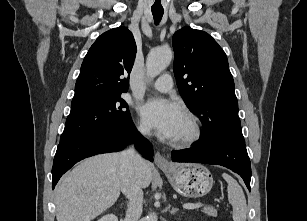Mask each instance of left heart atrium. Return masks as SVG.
Returning a JSON list of instances; mask_svg holds the SVG:
<instances>
[{"label":"left heart atrium","mask_w":307,"mask_h":221,"mask_svg":"<svg viewBox=\"0 0 307 221\" xmlns=\"http://www.w3.org/2000/svg\"><path fill=\"white\" fill-rule=\"evenodd\" d=\"M141 115L146 124L167 139H174L183 119L181 108L173 102L153 99L141 108Z\"/></svg>","instance_id":"left-heart-atrium-1"}]
</instances>
